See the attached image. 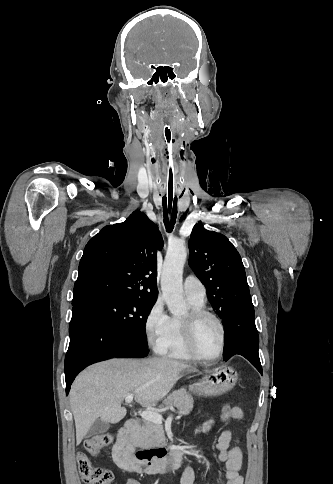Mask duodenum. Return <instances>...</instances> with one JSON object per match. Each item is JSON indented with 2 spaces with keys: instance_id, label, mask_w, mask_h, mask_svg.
<instances>
[{
  "instance_id": "obj_1",
  "label": "duodenum",
  "mask_w": 333,
  "mask_h": 484,
  "mask_svg": "<svg viewBox=\"0 0 333 484\" xmlns=\"http://www.w3.org/2000/svg\"><path fill=\"white\" fill-rule=\"evenodd\" d=\"M138 428L137 420L128 419L118 433L114 455L122 469L140 474H155L165 469H177L182 466L186 454L185 446L136 451L137 445L131 436Z\"/></svg>"
}]
</instances>
